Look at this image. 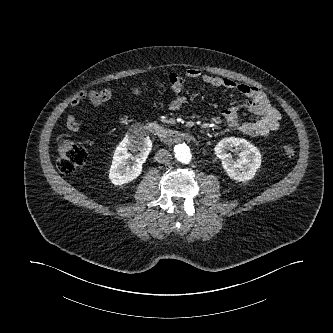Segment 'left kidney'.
<instances>
[{
  "instance_id": "1",
  "label": "left kidney",
  "mask_w": 333,
  "mask_h": 333,
  "mask_svg": "<svg viewBox=\"0 0 333 333\" xmlns=\"http://www.w3.org/2000/svg\"><path fill=\"white\" fill-rule=\"evenodd\" d=\"M239 149V159H234L229 151ZM216 156L222 160L227 175L236 181L252 179L261 165L260 151L243 138L228 137L215 146Z\"/></svg>"
}]
</instances>
